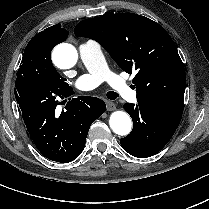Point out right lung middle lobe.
<instances>
[{
    "mask_svg": "<svg viewBox=\"0 0 209 209\" xmlns=\"http://www.w3.org/2000/svg\"><path fill=\"white\" fill-rule=\"evenodd\" d=\"M54 47L55 42L50 33L41 32L34 36L24 50L16 81L27 79L57 90L67 89L69 84L58 74L51 61Z\"/></svg>",
    "mask_w": 209,
    "mask_h": 209,
    "instance_id": "obj_1",
    "label": "right lung middle lobe"
}]
</instances>
